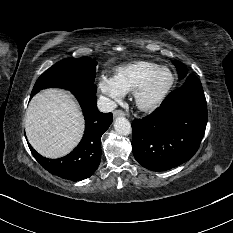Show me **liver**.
<instances>
[{"instance_id": "6515ba94", "label": "liver", "mask_w": 233, "mask_h": 233, "mask_svg": "<svg viewBox=\"0 0 233 233\" xmlns=\"http://www.w3.org/2000/svg\"><path fill=\"white\" fill-rule=\"evenodd\" d=\"M25 131L31 146L47 158H59L76 147L84 118L75 99L61 89L36 94L26 111Z\"/></svg>"}]
</instances>
